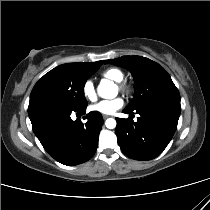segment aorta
Returning <instances> with one entry per match:
<instances>
[{"label":"aorta","mask_w":210,"mask_h":210,"mask_svg":"<svg viewBox=\"0 0 210 210\" xmlns=\"http://www.w3.org/2000/svg\"><path fill=\"white\" fill-rule=\"evenodd\" d=\"M98 94L102 98H113L116 95L115 85L110 82H101L97 88ZM105 125L108 129H114L116 127V120L113 118H108L105 122Z\"/></svg>","instance_id":"762f6f07"}]
</instances>
